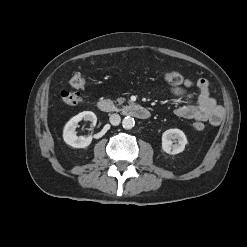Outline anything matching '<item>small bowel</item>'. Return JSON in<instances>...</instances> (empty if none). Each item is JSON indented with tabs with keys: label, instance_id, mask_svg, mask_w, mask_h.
<instances>
[{
	"label": "small bowel",
	"instance_id": "c3829d8e",
	"mask_svg": "<svg viewBox=\"0 0 247 247\" xmlns=\"http://www.w3.org/2000/svg\"><path fill=\"white\" fill-rule=\"evenodd\" d=\"M192 86H196L198 89L197 103L182 104L175 109V115L189 120L208 121L214 126L219 125L224 117V110L211 96L209 83L206 79L200 78L195 82L190 79H184L181 85L172 87L171 93L179 99H184L187 97L188 88Z\"/></svg>",
	"mask_w": 247,
	"mask_h": 247
}]
</instances>
